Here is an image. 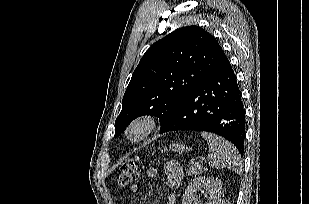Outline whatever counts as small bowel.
<instances>
[{"label": "small bowel", "instance_id": "small-bowel-1", "mask_svg": "<svg viewBox=\"0 0 309 204\" xmlns=\"http://www.w3.org/2000/svg\"><path fill=\"white\" fill-rule=\"evenodd\" d=\"M165 171L167 174V185L170 189L175 190L179 187L183 178V169L179 162L169 161L165 165ZM147 177L155 178L158 175V171L155 168H150L146 172ZM136 187L133 186L131 190H135ZM167 204H174V196L171 195L168 198Z\"/></svg>", "mask_w": 309, "mask_h": 204}]
</instances>
